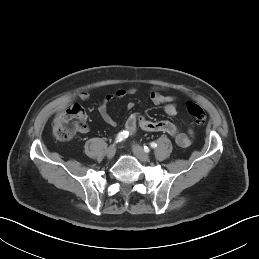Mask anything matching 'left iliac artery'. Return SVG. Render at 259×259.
<instances>
[{"instance_id":"obj_1","label":"left iliac artery","mask_w":259,"mask_h":259,"mask_svg":"<svg viewBox=\"0 0 259 259\" xmlns=\"http://www.w3.org/2000/svg\"><path fill=\"white\" fill-rule=\"evenodd\" d=\"M150 146L152 147V148H156L157 147V144L155 143V142H151L150 143ZM144 150H145V152H148L149 151V148L148 147H144Z\"/></svg>"}]
</instances>
